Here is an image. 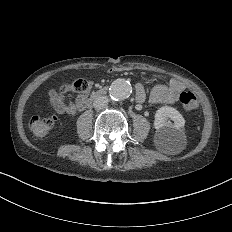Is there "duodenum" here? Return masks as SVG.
Segmentation results:
<instances>
[{
	"mask_svg": "<svg viewBox=\"0 0 232 232\" xmlns=\"http://www.w3.org/2000/svg\"><path fill=\"white\" fill-rule=\"evenodd\" d=\"M107 92H108L107 87L101 88V89L93 92L89 98L85 99L82 102V104L79 106V109L82 110V109L87 108L93 100H95L101 96H104Z\"/></svg>",
	"mask_w": 232,
	"mask_h": 232,
	"instance_id": "1",
	"label": "duodenum"
}]
</instances>
